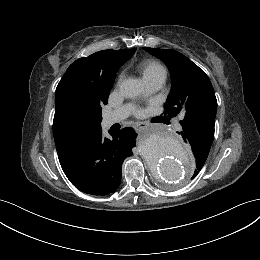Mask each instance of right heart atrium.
Here are the masks:
<instances>
[{"label": "right heart atrium", "mask_w": 260, "mask_h": 260, "mask_svg": "<svg viewBox=\"0 0 260 260\" xmlns=\"http://www.w3.org/2000/svg\"><path fill=\"white\" fill-rule=\"evenodd\" d=\"M125 74L121 73L118 78V84L124 79Z\"/></svg>", "instance_id": "1"}]
</instances>
